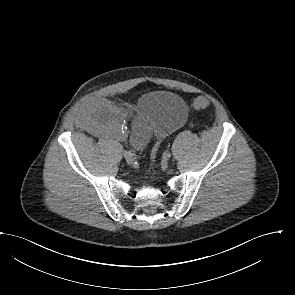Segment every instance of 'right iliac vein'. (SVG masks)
Here are the masks:
<instances>
[{
	"instance_id": "right-iliac-vein-1",
	"label": "right iliac vein",
	"mask_w": 295,
	"mask_h": 295,
	"mask_svg": "<svg viewBox=\"0 0 295 295\" xmlns=\"http://www.w3.org/2000/svg\"><path fill=\"white\" fill-rule=\"evenodd\" d=\"M124 158L127 164H132L134 162V157L129 155L128 153H124Z\"/></svg>"
}]
</instances>
